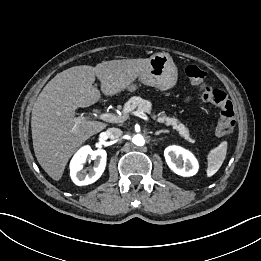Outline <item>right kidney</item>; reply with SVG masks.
Listing matches in <instances>:
<instances>
[{
	"label": "right kidney",
	"mask_w": 261,
	"mask_h": 261,
	"mask_svg": "<svg viewBox=\"0 0 261 261\" xmlns=\"http://www.w3.org/2000/svg\"><path fill=\"white\" fill-rule=\"evenodd\" d=\"M90 158L95 160L93 168L87 173L83 168ZM107 153L103 149L93 151L90 146L80 148L70 162V176L72 181L78 186L94 183L105 170Z\"/></svg>",
	"instance_id": "1"
}]
</instances>
